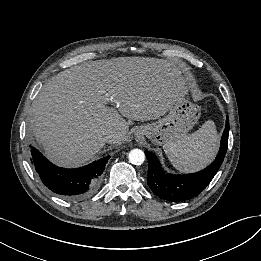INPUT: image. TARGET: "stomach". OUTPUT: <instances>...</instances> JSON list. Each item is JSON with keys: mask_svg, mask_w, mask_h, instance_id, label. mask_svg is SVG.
I'll use <instances>...</instances> for the list:
<instances>
[{"mask_svg": "<svg viewBox=\"0 0 261 261\" xmlns=\"http://www.w3.org/2000/svg\"><path fill=\"white\" fill-rule=\"evenodd\" d=\"M201 109L185 95L176 101L167 115L157 121L140 126L137 136H146L155 145H163L186 137L198 122Z\"/></svg>", "mask_w": 261, "mask_h": 261, "instance_id": "1", "label": "stomach"}]
</instances>
